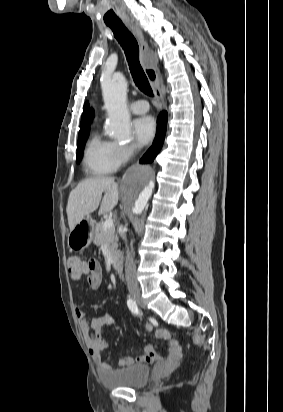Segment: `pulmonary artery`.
Instances as JSON below:
<instances>
[{
	"label": "pulmonary artery",
	"mask_w": 283,
	"mask_h": 412,
	"mask_svg": "<svg viewBox=\"0 0 283 412\" xmlns=\"http://www.w3.org/2000/svg\"><path fill=\"white\" fill-rule=\"evenodd\" d=\"M130 109L134 114H144L148 111L149 105L145 100H137L131 104Z\"/></svg>",
	"instance_id": "1"
}]
</instances>
